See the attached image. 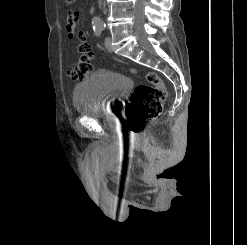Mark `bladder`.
<instances>
[{
	"label": "bladder",
	"mask_w": 247,
	"mask_h": 245,
	"mask_svg": "<svg viewBox=\"0 0 247 245\" xmlns=\"http://www.w3.org/2000/svg\"><path fill=\"white\" fill-rule=\"evenodd\" d=\"M133 87V81L120 73L98 70L78 83L73 105L81 116H103L117 111Z\"/></svg>",
	"instance_id": "obj_1"
}]
</instances>
